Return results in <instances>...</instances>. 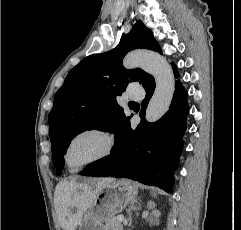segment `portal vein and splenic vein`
Listing matches in <instances>:
<instances>
[{
	"label": "portal vein and splenic vein",
	"instance_id": "18ae733b",
	"mask_svg": "<svg viewBox=\"0 0 241 230\" xmlns=\"http://www.w3.org/2000/svg\"><path fill=\"white\" fill-rule=\"evenodd\" d=\"M117 220L121 222V221H124L125 219H124L123 216H118V217H117Z\"/></svg>",
	"mask_w": 241,
	"mask_h": 230
}]
</instances>
